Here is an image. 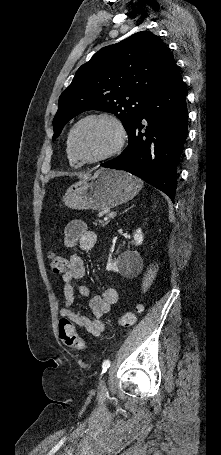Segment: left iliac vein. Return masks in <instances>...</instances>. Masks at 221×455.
<instances>
[{
  "instance_id": "obj_1",
  "label": "left iliac vein",
  "mask_w": 221,
  "mask_h": 455,
  "mask_svg": "<svg viewBox=\"0 0 221 455\" xmlns=\"http://www.w3.org/2000/svg\"><path fill=\"white\" fill-rule=\"evenodd\" d=\"M98 391L101 392V393H105L106 392V383H105L104 378L101 379L100 382H99Z\"/></svg>"
}]
</instances>
